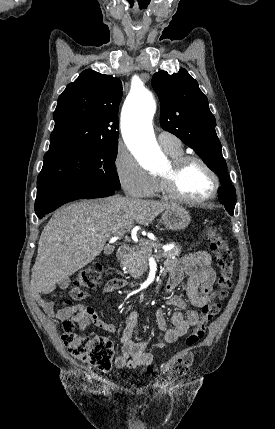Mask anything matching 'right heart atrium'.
Segmentation results:
<instances>
[{"mask_svg": "<svg viewBox=\"0 0 275 429\" xmlns=\"http://www.w3.org/2000/svg\"><path fill=\"white\" fill-rule=\"evenodd\" d=\"M117 178L125 191L136 197L153 193L156 179L147 172L125 148L119 147L115 156Z\"/></svg>", "mask_w": 275, "mask_h": 429, "instance_id": "d8ad5b80", "label": "right heart atrium"}]
</instances>
